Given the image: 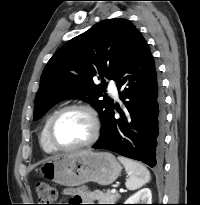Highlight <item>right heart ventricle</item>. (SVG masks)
I'll list each match as a JSON object with an SVG mask.
<instances>
[{"mask_svg": "<svg viewBox=\"0 0 200 205\" xmlns=\"http://www.w3.org/2000/svg\"><path fill=\"white\" fill-rule=\"evenodd\" d=\"M56 111L50 113L46 120L45 123L43 125L42 131H41V135H40V143L42 148L46 151V152H53L55 151V149L51 146V144L49 143L48 137H47V127L49 124L50 119L52 118V116L54 115Z\"/></svg>", "mask_w": 200, "mask_h": 205, "instance_id": "right-heart-ventricle-1", "label": "right heart ventricle"}]
</instances>
